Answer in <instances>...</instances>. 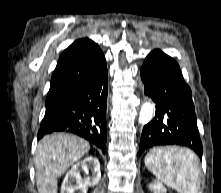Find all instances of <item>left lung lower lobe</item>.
<instances>
[{
    "mask_svg": "<svg viewBox=\"0 0 221 193\" xmlns=\"http://www.w3.org/2000/svg\"><path fill=\"white\" fill-rule=\"evenodd\" d=\"M145 94L156 103L155 117L144 126L139 154L160 145H181L194 150L202 158L203 148L196 124L191 89L184 82L179 65L160 50H153L141 68ZM175 112V126L163 114Z\"/></svg>",
    "mask_w": 221,
    "mask_h": 193,
    "instance_id": "left-lung-lower-lobe-1",
    "label": "left lung lower lobe"
}]
</instances>
